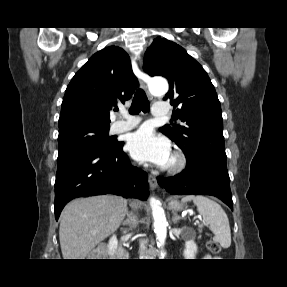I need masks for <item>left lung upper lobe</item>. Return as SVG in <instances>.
I'll use <instances>...</instances> for the list:
<instances>
[{"instance_id": "obj_1", "label": "left lung upper lobe", "mask_w": 287, "mask_h": 287, "mask_svg": "<svg viewBox=\"0 0 287 287\" xmlns=\"http://www.w3.org/2000/svg\"><path fill=\"white\" fill-rule=\"evenodd\" d=\"M144 70L150 76H164L169 82L164 100H170L175 119L184 125H165L160 131L182 149L187 163L212 161L226 165L221 106L203 67L181 46L158 37L145 53Z\"/></svg>"}]
</instances>
